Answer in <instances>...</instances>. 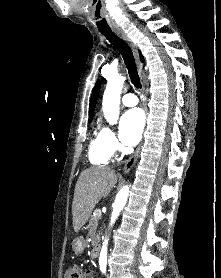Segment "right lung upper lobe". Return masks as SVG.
I'll return each mask as SVG.
<instances>
[{
    "mask_svg": "<svg viewBox=\"0 0 221 278\" xmlns=\"http://www.w3.org/2000/svg\"><path fill=\"white\" fill-rule=\"evenodd\" d=\"M140 60L144 61L142 55L140 56ZM99 89H100V81L98 80L96 82V85H95L94 89H93V93H92L91 100H90V105H89V117L91 119L93 118L94 109H95V105H96V102H97Z\"/></svg>",
    "mask_w": 221,
    "mask_h": 278,
    "instance_id": "1",
    "label": "right lung upper lobe"
}]
</instances>
